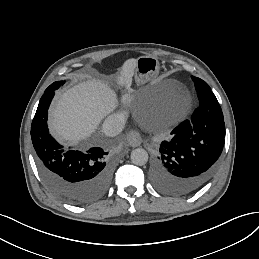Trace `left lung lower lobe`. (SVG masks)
Listing matches in <instances>:
<instances>
[{"instance_id":"left-lung-lower-lobe-1","label":"left lung lower lobe","mask_w":259,"mask_h":259,"mask_svg":"<svg viewBox=\"0 0 259 259\" xmlns=\"http://www.w3.org/2000/svg\"><path fill=\"white\" fill-rule=\"evenodd\" d=\"M200 105L190 120L161 143L150 170L153 186L162 193L185 196L201 188L215 173L224 146L225 123L211 90L197 92Z\"/></svg>"}]
</instances>
